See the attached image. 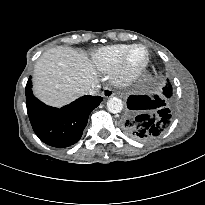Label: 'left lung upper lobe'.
Returning <instances> with one entry per match:
<instances>
[{
	"mask_svg": "<svg viewBox=\"0 0 205 205\" xmlns=\"http://www.w3.org/2000/svg\"><path fill=\"white\" fill-rule=\"evenodd\" d=\"M164 95L166 96V99H164V100H166L167 102H169V103H171V96H172V87H171V85L169 84L167 87H165L164 89Z\"/></svg>",
	"mask_w": 205,
	"mask_h": 205,
	"instance_id": "5c2ea615",
	"label": "left lung upper lobe"
}]
</instances>
